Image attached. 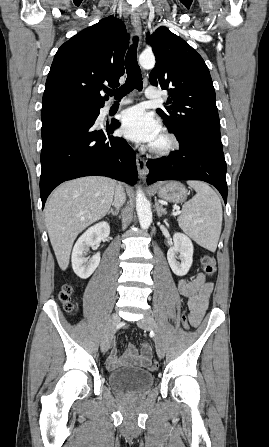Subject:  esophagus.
<instances>
[{
	"label": "esophagus",
	"mask_w": 269,
	"mask_h": 447,
	"mask_svg": "<svg viewBox=\"0 0 269 447\" xmlns=\"http://www.w3.org/2000/svg\"><path fill=\"white\" fill-rule=\"evenodd\" d=\"M131 24L134 27V30L136 32L137 37L139 38V44L141 43L142 38V25H141V18L139 15H132L131 16ZM136 165H137V171L139 174V177L141 179H145L147 175V167H146V160L144 157H141L140 155L136 156Z\"/></svg>",
	"instance_id": "34e87169"
}]
</instances>
